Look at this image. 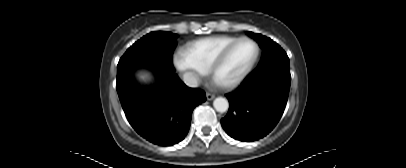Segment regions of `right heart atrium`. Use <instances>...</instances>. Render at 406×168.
<instances>
[{"label":"right heart atrium","mask_w":406,"mask_h":168,"mask_svg":"<svg viewBox=\"0 0 406 168\" xmlns=\"http://www.w3.org/2000/svg\"><path fill=\"white\" fill-rule=\"evenodd\" d=\"M173 63L189 85H196L206 72L199 68L185 51H178L173 56Z\"/></svg>","instance_id":"obj_1"}]
</instances>
